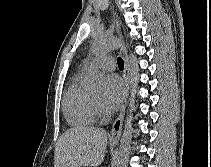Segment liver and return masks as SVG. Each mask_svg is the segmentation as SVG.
<instances>
[{"mask_svg":"<svg viewBox=\"0 0 211 167\" xmlns=\"http://www.w3.org/2000/svg\"><path fill=\"white\" fill-rule=\"evenodd\" d=\"M108 134L96 127L67 130L56 143L54 167L99 166L105 156Z\"/></svg>","mask_w":211,"mask_h":167,"instance_id":"liver-1","label":"liver"}]
</instances>
